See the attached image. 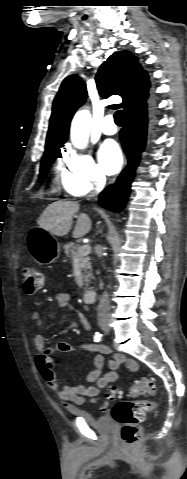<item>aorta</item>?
<instances>
[{"label": "aorta", "mask_w": 187, "mask_h": 479, "mask_svg": "<svg viewBox=\"0 0 187 479\" xmlns=\"http://www.w3.org/2000/svg\"><path fill=\"white\" fill-rule=\"evenodd\" d=\"M91 123L88 110H80L75 114L71 124V141L76 148L83 149L87 146Z\"/></svg>", "instance_id": "1"}]
</instances>
